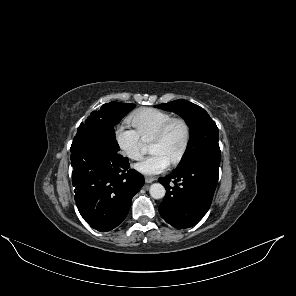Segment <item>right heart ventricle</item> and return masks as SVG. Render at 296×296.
Returning a JSON list of instances; mask_svg holds the SVG:
<instances>
[{
  "instance_id": "e07e8e85",
  "label": "right heart ventricle",
  "mask_w": 296,
  "mask_h": 296,
  "mask_svg": "<svg viewBox=\"0 0 296 296\" xmlns=\"http://www.w3.org/2000/svg\"><path fill=\"white\" fill-rule=\"evenodd\" d=\"M172 117L166 111L145 108L134 113L130 121L143 142H150L162 126Z\"/></svg>"
}]
</instances>
